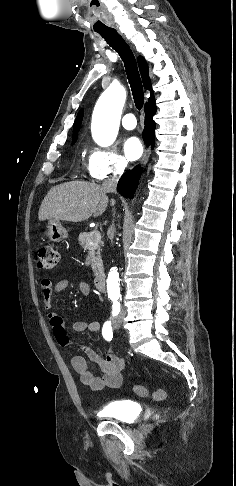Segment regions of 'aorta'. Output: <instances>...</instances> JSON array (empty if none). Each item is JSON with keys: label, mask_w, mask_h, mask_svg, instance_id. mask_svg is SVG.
Segmentation results:
<instances>
[{"label": "aorta", "mask_w": 236, "mask_h": 486, "mask_svg": "<svg viewBox=\"0 0 236 486\" xmlns=\"http://www.w3.org/2000/svg\"><path fill=\"white\" fill-rule=\"evenodd\" d=\"M126 99V91L119 84L112 83L100 96L92 116L91 132L94 141L108 147L114 143L119 128L122 107ZM108 296H119V273L112 268L107 278Z\"/></svg>", "instance_id": "obj_1"}]
</instances>
